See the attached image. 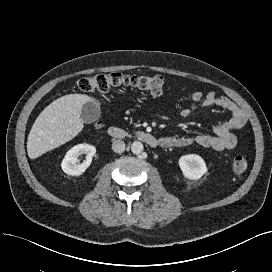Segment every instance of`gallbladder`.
I'll return each instance as SVG.
<instances>
[{
  "label": "gallbladder",
  "mask_w": 272,
  "mask_h": 272,
  "mask_svg": "<svg viewBox=\"0 0 272 272\" xmlns=\"http://www.w3.org/2000/svg\"><path fill=\"white\" fill-rule=\"evenodd\" d=\"M101 116L100 108L93 102H87L81 110V119L86 124H91Z\"/></svg>",
  "instance_id": "bac80fb5"
}]
</instances>
